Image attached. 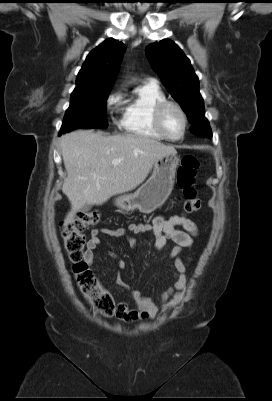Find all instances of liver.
Returning a JSON list of instances; mask_svg holds the SVG:
<instances>
[{
    "label": "liver",
    "mask_w": 272,
    "mask_h": 401,
    "mask_svg": "<svg viewBox=\"0 0 272 401\" xmlns=\"http://www.w3.org/2000/svg\"><path fill=\"white\" fill-rule=\"evenodd\" d=\"M67 177L62 192L71 203L64 224L73 223L85 204L101 205L110 197L134 190L148 176L154 163L173 146L137 135H105L93 130H76L60 139ZM120 159L114 166L112 161Z\"/></svg>",
    "instance_id": "liver-1"
}]
</instances>
